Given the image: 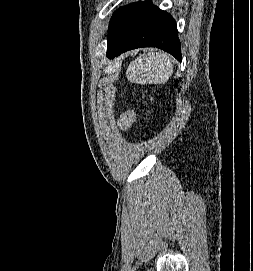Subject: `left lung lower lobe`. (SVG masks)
I'll use <instances>...</instances> for the list:
<instances>
[{
  "mask_svg": "<svg viewBox=\"0 0 253 271\" xmlns=\"http://www.w3.org/2000/svg\"><path fill=\"white\" fill-rule=\"evenodd\" d=\"M139 47H157L181 61V48L176 22L151 0L125 7L119 22L107 40V57Z\"/></svg>",
  "mask_w": 253,
  "mask_h": 271,
  "instance_id": "obj_1",
  "label": "left lung lower lobe"
}]
</instances>
